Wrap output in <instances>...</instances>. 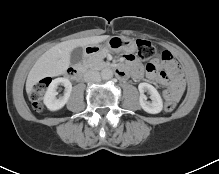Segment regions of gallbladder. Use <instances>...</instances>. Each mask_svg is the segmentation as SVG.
<instances>
[{"mask_svg": "<svg viewBox=\"0 0 219 174\" xmlns=\"http://www.w3.org/2000/svg\"><path fill=\"white\" fill-rule=\"evenodd\" d=\"M84 51L81 47H77L71 51L70 61L72 65L80 63L83 59Z\"/></svg>", "mask_w": 219, "mask_h": 174, "instance_id": "1", "label": "gallbladder"}]
</instances>
